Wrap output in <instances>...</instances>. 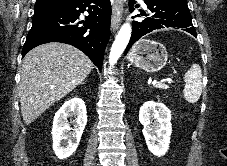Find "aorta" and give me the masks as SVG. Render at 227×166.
<instances>
[{
	"label": "aorta",
	"instance_id": "aorta-1",
	"mask_svg": "<svg viewBox=\"0 0 227 166\" xmlns=\"http://www.w3.org/2000/svg\"><path fill=\"white\" fill-rule=\"evenodd\" d=\"M131 37V26L129 23H124L118 32L115 41L112 44L109 54V64L113 66L122 53L124 52Z\"/></svg>",
	"mask_w": 227,
	"mask_h": 166
}]
</instances>
